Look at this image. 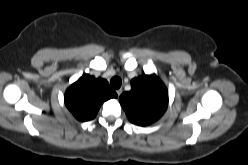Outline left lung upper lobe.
<instances>
[{
	"label": "left lung upper lobe",
	"mask_w": 248,
	"mask_h": 165,
	"mask_svg": "<svg viewBox=\"0 0 248 165\" xmlns=\"http://www.w3.org/2000/svg\"><path fill=\"white\" fill-rule=\"evenodd\" d=\"M128 119L140 126L157 121L168 106V91L156 75H142L131 81V91L119 98Z\"/></svg>",
	"instance_id": "1"
}]
</instances>
